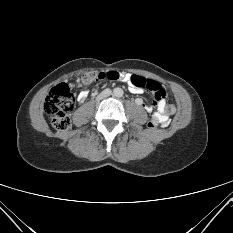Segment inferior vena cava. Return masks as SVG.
<instances>
[{
	"label": "inferior vena cava",
	"instance_id": "1",
	"mask_svg": "<svg viewBox=\"0 0 233 233\" xmlns=\"http://www.w3.org/2000/svg\"><path fill=\"white\" fill-rule=\"evenodd\" d=\"M110 94H111V89H106L105 91H103L99 94V98L104 99V98L108 97Z\"/></svg>",
	"mask_w": 233,
	"mask_h": 233
}]
</instances>
